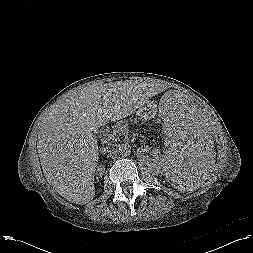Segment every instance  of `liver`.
I'll list each match as a JSON object with an SVG mask.
<instances>
[{
    "label": "liver",
    "instance_id": "obj_1",
    "mask_svg": "<svg viewBox=\"0 0 253 253\" xmlns=\"http://www.w3.org/2000/svg\"><path fill=\"white\" fill-rule=\"evenodd\" d=\"M155 93L146 83L118 81L87 86L58 103L42 120L38 137L48 183L72 203L84 205L93 200L99 159L93 131L130 116Z\"/></svg>",
    "mask_w": 253,
    "mask_h": 253
}]
</instances>
